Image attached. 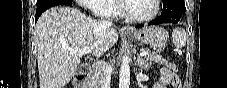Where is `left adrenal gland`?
I'll use <instances>...</instances> for the list:
<instances>
[{
	"instance_id": "left-adrenal-gland-1",
	"label": "left adrenal gland",
	"mask_w": 227,
	"mask_h": 88,
	"mask_svg": "<svg viewBox=\"0 0 227 88\" xmlns=\"http://www.w3.org/2000/svg\"><path fill=\"white\" fill-rule=\"evenodd\" d=\"M137 66L141 68V70L148 69V63H146L139 55L137 56Z\"/></svg>"
}]
</instances>
